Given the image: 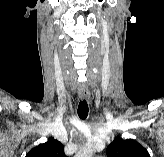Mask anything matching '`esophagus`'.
Listing matches in <instances>:
<instances>
[{
	"label": "esophagus",
	"instance_id": "obj_1",
	"mask_svg": "<svg viewBox=\"0 0 164 157\" xmlns=\"http://www.w3.org/2000/svg\"><path fill=\"white\" fill-rule=\"evenodd\" d=\"M79 97H80L81 100H87V99H89L90 95H89L88 91L80 90L79 91Z\"/></svg>",
	"mask_w": 164,
	"mask_h": 157
}]
</instances>
